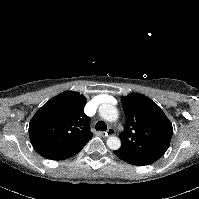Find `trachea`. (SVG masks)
Masks as SVG:
<instances>
[{
	"label": "trachea",
	"instance_id": "1",
	"mask_svg": "<svg viewBox=\"0 0 199 199\" xmlns=\"http://www.w3.org/2000/svg\"><path fill=\"white\" fill-rule=\"evenodd\" d=\"M95 128H96V130L106 131L107 125L103 121H98L95 125Z\"/></svg>",
	"mask_w": 199,
	"mask_h": 199
}]
</instances>
